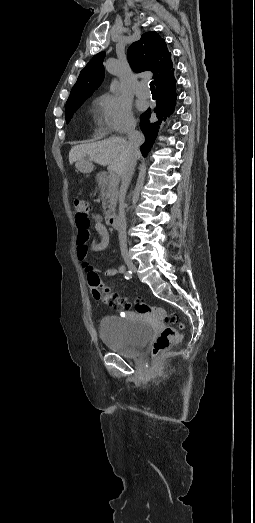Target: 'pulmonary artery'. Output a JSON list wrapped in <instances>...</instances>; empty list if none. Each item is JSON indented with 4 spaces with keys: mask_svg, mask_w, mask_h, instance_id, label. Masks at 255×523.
Returning <instances> with one entry per match:
<instances>
[{
    "mask_svg": "<svg viewBox=\"0 0 255 523\" xmlns=\"http://www.w3.org/2000/svg\"><path fill=\"white\" fill-rule=\"evenodd\" d=\"M135 94L137 97L149 98L151 96L149 83L146 80L139 82L135 89Z\"/></svg>",
    "mask_w": 255,
    "mask_h": 523,
    "instance_id": "1",
    "label": "pulmonary artery"
}]
</instances>
